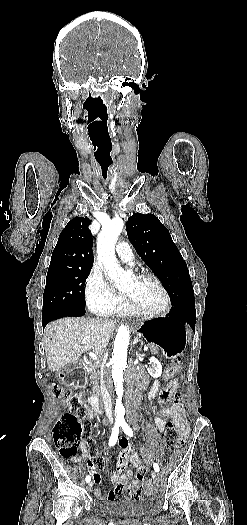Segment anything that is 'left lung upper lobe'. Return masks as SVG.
I'll return each mask as SVG.
<instances>
[{"label":"left lung upper lobe","mask_w":247,"mask_h":525,"mask_svg":"<svg viewBox=\"0 0 247 525\" xmlns=\"http://www.w3.org/2000/svg\"><path fill=\"white\" fill-rule=\"evenodd\" d=\"M128 239L162 282L173 305L195 302L186 262L168 229L153 214H133L126 222Z\"/></svg>","instance_id":"5c2ea615"}]
</instances>
